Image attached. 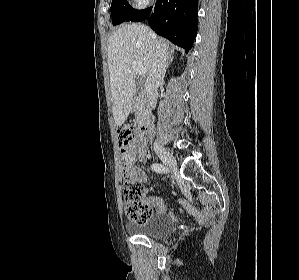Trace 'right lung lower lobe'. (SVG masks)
<instances>
[{"label": "right lung lower lobe", "mask_w": 299, "mask_h": 280, "mask_svg": "<svg viewBox=\"0 0 299 280\" xmlns=\"http://www.w3.org/2000/svg\"><path fill=\"white\" fill-rule=\"evenodd\" d=\"M151 9L134 10L127 21L148 20L158 35L183 47L188 53L197 33L198 0H157L152 15Z\"/></svg>", "instance_id": "98d812e1"}]
</instances>
